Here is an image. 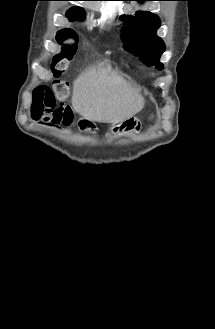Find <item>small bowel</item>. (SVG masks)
I'll list each match as a JSON object with an SVG mask.
<instances>
[{"instance_id": "1", "label": "small bowel", "mask_w": 215, "mask_h": 329, "mask_svg": "<svg viewBox=\"0 0 215 329\" xmlns=\"http://www.w3.org/2000/svg\"><path fill=\"white\" fill-rule=\"evenodd\" d=\"M32 120L35 122L49 126V127H58L60 125H68L71 120V111L70 114H31Z\"/></svg>"}]
</instances>
